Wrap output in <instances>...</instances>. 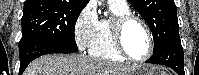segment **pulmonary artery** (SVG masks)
Masks as SVG:
<instances>
[{
  "instance_id": "1",
  "label": "pulmonary artery",
  "mask_w": 199,
  "mask_h": 75,
  "mask_svg": "<svg viewBox=\"0 0 199 75\" xmlns=\"http://www.w3.org/2000/svg\"><path fill=\"white\" fill-rule=\"evenodd\" d=\"M111 7L128 8L127 1L124 0H110L108 1Z\"/></svg>"
}]
</instances>
